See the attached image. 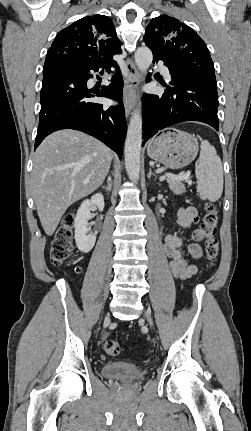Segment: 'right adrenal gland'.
<instances>
[{"label": "right adrenal gland", "mask_w": 251, "mask_h": 431, "mask_svg": "<svg viewBox=\"0 0 251 431\" xmlns=\"http://www.w3.org/2000/svg\"><path fill=\"white\" fill-rule=\"evenodd\" d=\"M102 189H104L106 192H110L112 189V179L111 177H108L107 185H102Z\"/></svg>", "instance_id": "1"}]
</instances>
